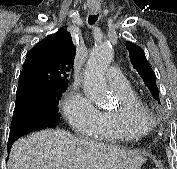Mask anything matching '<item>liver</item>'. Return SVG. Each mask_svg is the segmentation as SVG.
Returning a JSON list of instances; mask_svg holds the SVG:
<instances>
[{
  "instance_id": "6515ba94",
  "label": "liver",
  "mask_w": 177,
  "mask_h": 169,
  "mask_svg": "<svg viewBox=\"0 0 177 169\" xmlns=\"http://www.w3.org/2000/svg\"><path fill=\"white\" fill-rule=\"evenodd\" d=\"M143 158L113 145L46 129L17 140L8 169H136Z\"/></svg>"
}]
</instances>
